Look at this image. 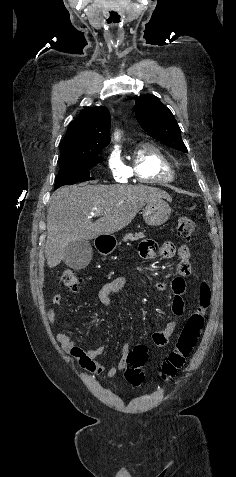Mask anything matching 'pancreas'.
<instances>
[{
    "label": "pancreas",
    "mask_w": 236,
    "mask_h": 477,
    "mask_svg": "<svg viewBox=\"0 0 236 477\" xmlns=\"http://www.w3.org/2000/svg\"><path fill=\"white\" fill-rule=\"evenodd\" d=\"M144 237H145L144 234L141 233V232L136 233V234L130 233V234H127V235H125V236L123 237V241H124V242H127V241H136V240H138V239H140V238H144Z\"/></svg>",
    "instance_id": "cf45deb5"
}]
</instances>
